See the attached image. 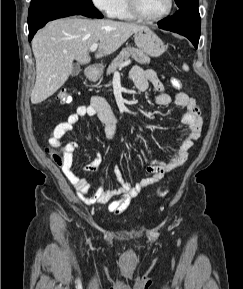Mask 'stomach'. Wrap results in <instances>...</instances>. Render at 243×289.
<instances>
[{"instance_id": "1", "label": "stomach", "mask_w": 243, "mask_h": 289, "mask_svg": "<svg viewBox=\"0 0 243 289\" xmlns=\"http://www.w3.org/2000/svg\"><path fill=\"white\" fill-rule=\"evenodd\" d=\"M136 46L146 55L151 57L160 56L166 49L163 41L148 27L139 30L134 35ZM102 74V70H94L88 73V78L92 81L97 80Z\"/></svg>"}]
</instances>
